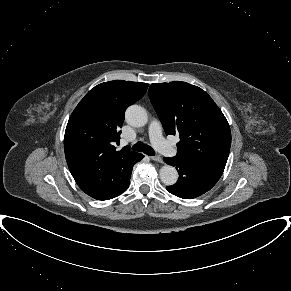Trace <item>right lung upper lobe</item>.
<instances>
[{"instance_id": "obj_1", "label": "right lung upper lobe", "mask_w": 291, "mask_h": 291, "mask_svg": "<svg viewBox=\"0 0 291 291\" xmlns=\"http://www.w3.org/2000/svg\"><path fill=\"white\" fill-rule=\"evenodd\" d=\"M148 84L114 80L92 88L71 114L64 137L69 170L89 196L114 195L130 174L139 153L114 146L126 108L141 99Z\"/></svg>"}]
</instances>
